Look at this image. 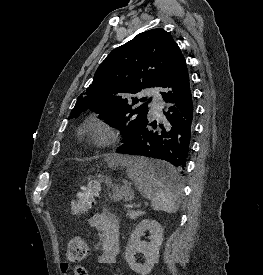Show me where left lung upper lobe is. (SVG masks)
Here are the masks:
<instances>
[{
  "instance_id": "1",
  "label": "left lung upper lobe",
  "mask_w": 263,
  "mask_h": 275,
  "mask_svg": "<svg viewBox=\"0 0 263 275\" xmlns=\"http://www.w3.org/2000/svg\"><path fill=\"white\" fill-rule=\"evenodd\" d=\"M179 49L164 29L142 32L114 49L100 64L92 84L77 98L69 118L90 109L110 126L119 129L122 142L147 119V98L133 94L158 87L174 53ZM180 50V49H179Z\"/></svg>"
}]
</instances>
